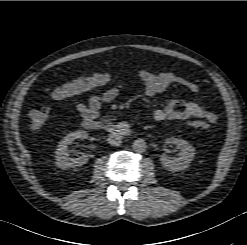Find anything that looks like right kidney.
I'll use <instances>...</instances> for the list:
<instances>
[{"mask_svg": "<svg viewBox=\"0 0 247 245\" xmlns=\"http://www.w3.org/2000/svg\"><path fill=\"white\" fill-rule=\"evenodd\" d=\"M88 133L83 130H78L69 133L58 144L56 149V165L60 168H74L82 166L88 162V155H82L77 158H71L68 153V145H70L75 139H87Z\"/></svg>", "mask_w": 247, "mask_h": 245, "instance_id": "1", "label": "right kidney"}]
</instances>
